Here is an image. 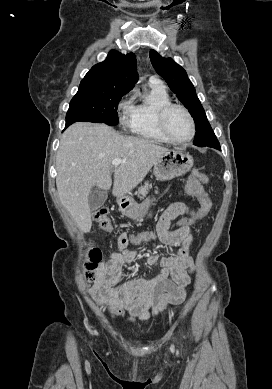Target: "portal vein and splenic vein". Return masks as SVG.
I'll return each mask as SVG.
<instances>
[{"label": "portal vein and splenic vein", "instance_id": "18ae733b", "mask_svg": "<svg viewBox=\"0 0 272 389\" xmlns=\"http://www.w3.org/2000/svg\"><path fill=\"white\" fill-rule=\"evenodd\" d=\"M122 163H125V160L115 159V160H113L112 165H113V167H117V166H119Z\"/></svg>", "mask_w": 272, "mask_h": 389}]
</instances>
